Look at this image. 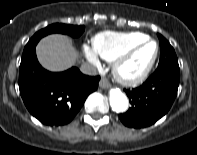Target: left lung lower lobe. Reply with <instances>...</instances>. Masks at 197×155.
Returning <instances> with one entry per match:
<instances>
[{"label":"left lung lower lobe","instance_id":"left-lung-lower-lobe-1","mask_svg":"<svg viewBox=\"0 0 197 155\" xmlns=\"http://www.w3.org/2000/svg\"><path fill=\"white\" fill-rule=\"evenodd\" d=\"M179 86V67L165 65L139 87L125 90L132 105L119 118L127 127L142 128L154 124L171 108Z\"/></svg>","mask_w":197,"mask_h":155}]
</instances>
